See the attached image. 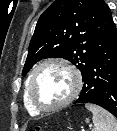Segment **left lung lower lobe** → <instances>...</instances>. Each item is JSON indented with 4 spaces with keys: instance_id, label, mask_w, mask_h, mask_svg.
I'll return each instance as SVG.
<instances>
[{
    "instance_id": "1",
    "label": "left lung lower lobe",
    "mask_w": 117,
    "mask_h": 131,
    "mask_svg": "<svg viewBox=\"0 0 117 131\" xmlns=\"http://www.w3.org/2000/svg\"><path fill=\"white\" fill-rule=\"evenodd\" d=\"M84 85L76 103H93L117 117V30L112 20L106 44L82 77Z\"/></svg>"
}]
</instances>
